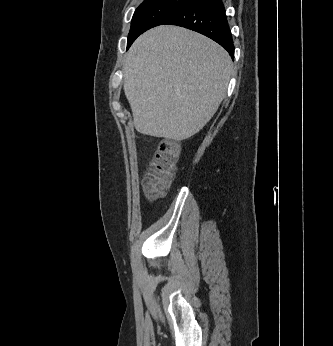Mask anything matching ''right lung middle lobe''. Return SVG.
I'll return each mask as SVG.
<instances>
[{
  "label": "right lung middle lobe",
  "mask_w": 333,
  "mask_h": 346,
  "mask_svg": "<svg viewBox=\"0 0 333 346\" xmlns=\"http://www.w3.org/2000/svg\"><path fill=\"white\" fill-rule=\"evenodd\" d=\"M186 0H144L136 9L128 35L127 49L150 28L163 24Z\"/></svg>",
  "instance_id": "obj_1"
}]
</instances>
